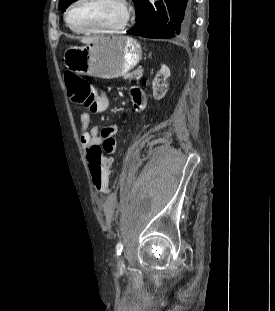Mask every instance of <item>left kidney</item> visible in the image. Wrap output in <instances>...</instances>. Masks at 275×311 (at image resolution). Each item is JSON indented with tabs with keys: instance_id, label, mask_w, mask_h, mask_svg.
I'll use <instances>...</instances> for the list:
<instances>
[{
	"instance_id": "left-kidney-1",
	"label": "left kidney",
	"mask_w": 275,
	"mask_h": 311,
	"mask_svg": "<svg viewBox=\"0 0 275 311\" xmlns=\"http://www.w3.org/2000/svg\"><path fill=\"white\" fill-rule=\"evenodd\" d=\"M163 76V77H162ZM170 70L167 66L163 65L160 71L156 74L153 81V96L155 100L162 99L168 88ZM161 77V78H160Z\"/></svg>"
}]
</instances>
